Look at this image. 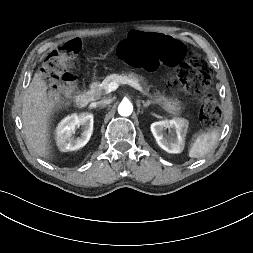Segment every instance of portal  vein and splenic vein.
<instances>
[{
	"instance_id": "obj_1",
	"label": "portal vein and splenic vein",
	"mask_w": 253,
	"mask_h": 253,
	"mask_svg": "<svg viewBox=\"0 0 253 253\" xmlns=\"http://www.w3.org/2000/svg\"><path fill=\"white\" fill-rule=\"evenodd\" d=\"M122 84H128L130 86H132L133 88L139 90L140 92L143 91L142 87L134 82V81H131V80H124L121 82ZM119 84L117 82H111L109 85H108V88H109V91H115L117 88H118Z\"/></svg>"
}]
</instances>
